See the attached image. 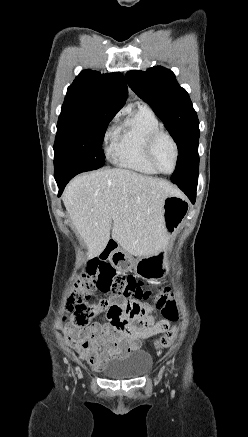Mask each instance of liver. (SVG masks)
I'll list each match as a JSON object with an SVG mask.
<instances>
[{"label": "liver", "instance_id": "6515ba94", "mask_svg": "<svg viewBox=\"0 0 248 437\" xmlns=\"http://www.w3.org/2000/svg\"><path fill=\"white\" fill-rule=\"evenodd\" d=\"M167 181L113 168L75 177L65 188L64 206L88 250L98 256L112 239L136 257L165 247L164 199L178 195Z\"/></svg>", "mask_w": 248, "mask_h": 437}]
</instances>
